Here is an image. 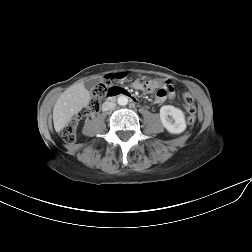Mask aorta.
<instances>
[{"label":"aorta","mask_w":252,"mask_h":252,"mask_svg":"<svg viewBox=\"0 0 252 252\" xmlns=\"http://www.w3.org/2000/svg\"><path fill=\"white\" fill-rule=\"evenodd\" d=\"M117 103L120 105V106H125L127 105L128 103V98L124 95L122 96H119L118 99H117Z\"/></svg>","instance_id":"obj_1"}]
</instances>
